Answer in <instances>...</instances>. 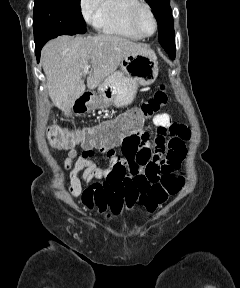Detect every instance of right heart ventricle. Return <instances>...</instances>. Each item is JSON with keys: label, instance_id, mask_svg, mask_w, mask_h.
I'll return each instance as SVG.
<instances>
[{"label": "right heart ventricle", "instance_id": "right-heart-ventricle-1", "mask_svg": "<svg viewBox=\"0 0 240 288\" xmlns=\"http://www.w3.org/2000/svg\"><path fill=\"white\" fill-rule=\"evenodd\" d=\"M137 2L138 0H104L96 27L105 34L141 39L128 22L129 10Z\"/></svg>", "mask_w": 240, "mask_h": 288}]
</instances>
